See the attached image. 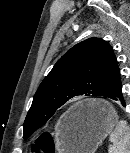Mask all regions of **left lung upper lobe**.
<instances>
[{"label":"left lung upper lobe","instance_id":"5c2ea615","mask_svg":"<svg viewBox=\"0 0 130 153\" xmlns=\"http://www.w3.org/2000/svg\"><path fill=\"white\" fill-rule=\"evenodd\" d=\"M116 63L112 47L100 38H89L68 50L36 91L23 138L43 126L69 99L100 96Z\"/></svg>","mask_w":130,"mask_h":153}]
</instances>
